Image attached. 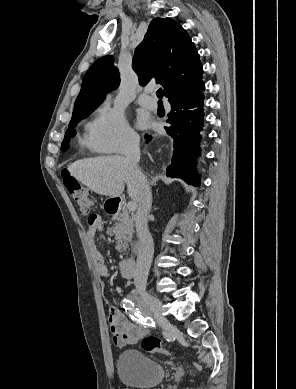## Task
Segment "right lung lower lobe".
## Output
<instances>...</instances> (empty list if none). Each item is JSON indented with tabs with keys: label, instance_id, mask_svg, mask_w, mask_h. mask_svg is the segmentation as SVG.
Returning <instances> with one entry per match:
<instances>
[{
	"label": "right lung lower lobe",
	"instance_id": "right-lung-lower-lobe-1",
	"mask_svg": "<svg viewBox=\"0 0 296 389\" xmlns=\"http://www.w3.org/2000/svg\"><path fill=\"white\" fill-rule=\"evenodd\" d=\"M205 85L193 89H178L170 92L168 101L171 111L165 127L173 139V158L167 167V176L181 178L188 184L199 186L200 178L196 175L195 157L200 154V139L204 122ZM147 142L152 137L145 135Z\"/></svg>",
	"mask_w": 296,
	"mask_h": 389
}]
</instances>
